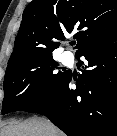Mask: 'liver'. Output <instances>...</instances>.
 Segmentation results:
<instances>
[{
    "label": "liver",
    "mask_w": 117,
    "mask_h": 136,
    "mask_svg": "<svg viewBox=\"0 0 117 136\" xmlns=\"http://www.w3.org/2000/svg\"><path fill=\"white\" fill-rule=\"evenodd\" d=\"M3 134L4 136H64L52 123L42 118L9 124L3 129Z\"/></svg>",
    "instance_id": "1"
}]
</instances>
